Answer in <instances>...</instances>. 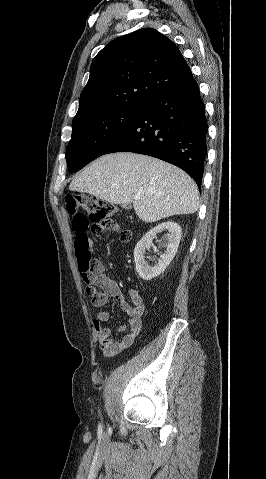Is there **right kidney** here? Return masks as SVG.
Here are the masks:
<instances>
[{
  "label": "right kidney",
  "mask_w": 266,
  "mask_h": 479,
  "mask_svg": "<svg viewBox=\"0 0 266 479\" xmlns=\"http://www.w3.org/2000/svg\"><path fill=\"white\" fill-rule=\"evenodd\" d=\"M161 232H167L165 234L166 250L157 264L149 266L144 259L145 250L150 248L152 240ZM180 239L181 227L172 221L163 222L145 234L134 249L136 271L140 278L148 281L164 272L177 253Z\"/></svg>",
  "instance_id": "right-kidney-1"
}]
</instances>
